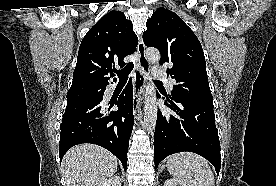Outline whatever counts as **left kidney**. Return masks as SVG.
Masks as SVG:
<instances>
[{
    "label": "left kidney",
    "mask_w": 276,
    "mask_h": 186,
    "mask_svg": "<svg viewBox=\"0 0 276 186\" xmlns=\"http://www.w3.org/2000/svg\"><path fill=\"white\" fill-rule=\"evenodd\" d=\"M164 186H187V185L177 179H167L164 183Z\"/></svg>",
    "instance_id": "1"
}]
</instances>
